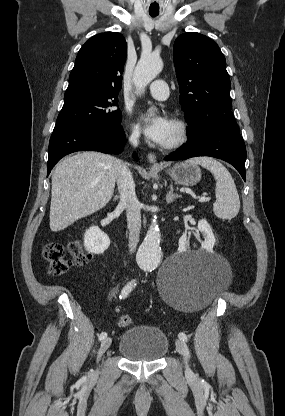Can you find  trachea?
I'll use <instances>...</instances> for the list:
<instances>
[{
    "mask_svg": "<svg viewBox=\"0 0 285 416\" xmlns=\"http://www.w3.org/2000/svg\"><path fill=\"white\" fill-rule=\"evenodd\" d=\"M150 16H151V17H157V16H158V14H155V13H150Z\"/></svg>",
    "mask_w": 285,
    "mask_h": 416,
    "instance_id": "3493384b",
    "label": "trachea"
}]
</instances>
